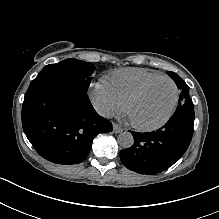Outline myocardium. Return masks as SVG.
I'll list each match as a JSON object with an SVG mask.
<instances>
[{
  "label": "myocardium",
  "mask_w": 219,
  "mask_h": 219,
  "mask_svg": "<svg viewBox=\"0 0 219 219\" xmlns=\"http://www.w3.org/2000/svg\"><path fill=\"white\" fill-rule=\"evenodd\" d=\"M160 81H169L174 88V97L173 100L170 104V106L168 107V109L166 110L164 116L162 117V119L156 123L153 124H148V125H144V124H138L134 121L131 120L130 116H129V109L131 107V105L137 101L140 97H142L152 86H154L156 83L160 82ZM178 96H179V90L178 87L176 85V83L169 77L167 76H162L159 78H156L148 83H146L145 85H143L140 89H138L136 92H134L125 102L124 104V112L126 114V116L129 118L130 120V124L138 129V130H143V131H150V130H155L161 126H163L171 117L173 110L177 104L178 101Z\"/></svg>",
  "instance_id": "myocardium-1"
}]
</instances>
